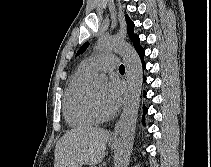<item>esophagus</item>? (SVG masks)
<instances>
[{"instance_id":"34e87169","label":"esophagus","mask_w":211,"mask_h":167,"mask_svg":"<svg viewBox=\"0 0 211 167\" xmlns=\"http://www.w3.org/2000/svg\"><path fill=\"white\" fill-rule=\"evenodd\" d=\"M120 123H121V120H118V122L115 124V127H114V131L110 137V140L111 141H117L118 140V134H119V130H120Z\"/></svg>"}]
</instances>
